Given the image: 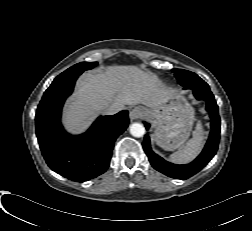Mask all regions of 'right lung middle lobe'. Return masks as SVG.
<instances>
[{
    "instance_id": "1",
    "label": "right lung middle lobe",
    "mask_w": 252,
    "mask_h": 231,
    "mask_svg": "<svg viewBox=\"0 0 252 231\" xmlns=\"http://www.w3.org/2000/svg\"><path fill=\"white\" fill-rule=\"evenodd\" d=\"M96 65H97V62H81V63H78V64L70 67L69 69H67L66 71H64L63 73H61L60 75H58L54 79V81L52 82V84H56V83L64 81V80H68L70 78L77 77L83 71L88 70V69H92Z\"/></svg>"
}]
</instances>
